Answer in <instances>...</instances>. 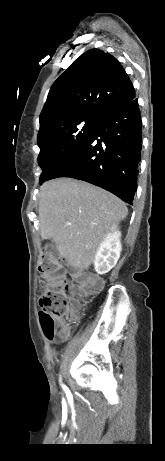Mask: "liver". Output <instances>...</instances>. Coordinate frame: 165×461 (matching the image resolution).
I'll use <instances>...</instances> for the list:
<instances>
[{
    "label": "liver",
    "mask_w": 165,
    "mask_h": 461,
    "mask_svg": "<svg viewBox=\"0 0 165 461\" xmlns=\"http://www.w3.org/2000/svg\"><path fill=\"white\" fill-rule=\"evenodd\" d=\"M40 190L42 239L55 242L71 266L87 270L105 232L127 216L125 203L106 190L71 178L50 180Z\"/></svg>",
    "instance_id": "obj_1"
}]
</instances>
